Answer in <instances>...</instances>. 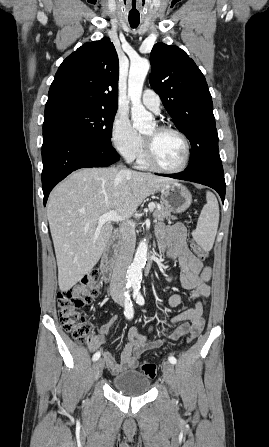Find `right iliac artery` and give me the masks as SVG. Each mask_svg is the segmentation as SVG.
<instances>
[{
  "label": "right iliac artery",
  "instance_id": "1",
  "mask_svg": "<svg viewBox=\"0 0 269 447\" xmlns=\"http://www.w3.org/2000/svg\"><path fill=\"white\" fill-rule=\"evenodd\" d=\"M132 285L131 284H127L126 285V289L127 291L125 292V309H124V315L126 316V318L128 319H132L133 318V305L132 302L130 300V295H129V289ZM100 358V353L97 352L93 355V361H97Z\"/></svg>",
  "mask_w": 269,
  "mask_h": 447
}]
</instances>
